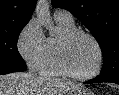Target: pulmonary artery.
Returning a JSON list of instances; mask_svg holds the SVG:
<instances>
[{
	"mask_svg": "<svg viewBox=\"0 0 119 95\" xmlns=\"http://www.w3.org/2000/svg\"><path fill=\"white\" fill-rule=\"evenodd\" d=\"M53 16H54V19L58 21H62L66 23L73 22L72 14L66 10H62V9L56 10Z\"/></svg>",
	"mask_w": 119,
	"mask_h": 95,
	"instance_id": "obj_1",
	"label": "pulmonary artery"
}]
</instances>
